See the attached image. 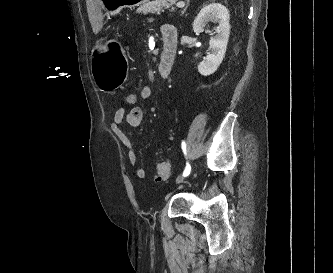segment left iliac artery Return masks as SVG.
I'll return each instance as SVG.
<instances>
[{
  "label": "left iliac artery",
  "mask_w": 333,
  "mask_h": 273,
  "mask_svg": "<svg viewBox=\"0 0 333 273\" xmlns=\"http://www.w3.org/2000/svg\"><path fill=\"white\" fill-rule=\"evenodd\" d=\"M181 147H182L184 155L186 156L187 155V152H186V143L184 141H182ZM190 172H191V166H190L189 162H187L185 170L183 172V176L187 177L190 174Z\"/></svg>",
  "instance_id": "obj_1"
}]
</instances>
